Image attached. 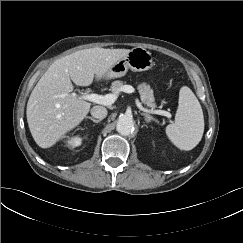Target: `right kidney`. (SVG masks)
Listing matches in <instances>:
<instances>
[{
	"label": "right kidney",
	"mask_w": 243,
	"mask_h": 243,
	"mask_svg": "<svg viewBox=\"0 0 243 243\" xmlns=\"http://www.w3.org/2000/svg\"><path fill=\"white\" fill-rule=\"evenodd\" d=\"M82 139L79 136L71 137L67 140V145L69 147H77L81 145Z\"/></svg>",
	"instance_id": "1"
}]
</instances>
